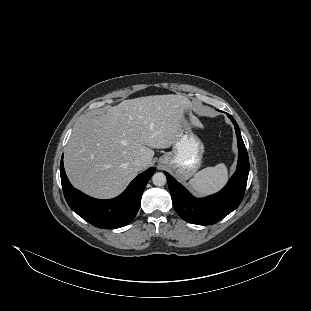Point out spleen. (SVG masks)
Masks as SVG:
<instances>
[{"label": "spleen", "instance_id": "obj_1", "mask_svg": "<svg viewBox=\"0 0 311 311\" xmlns=\"http://www.w3.org/2000/svg\"><path fill=\"white\" fill-rule=\"evenodd\" d=\"M227 178L224 164L206 167L190 179L189 184L199 193H209L219 189Z\"/></svg>", "mask_w": 311, "mask_h": 311}]
</instances>
